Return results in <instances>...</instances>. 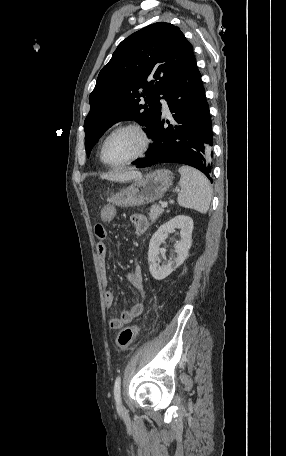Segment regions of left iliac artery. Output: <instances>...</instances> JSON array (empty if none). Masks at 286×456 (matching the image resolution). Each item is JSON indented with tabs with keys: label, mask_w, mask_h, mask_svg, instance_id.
Masks as SVG:
<instances>
[{
	"label": "left iliac artery",
	"mask_w": 286,
	"mask_h": 456,
	"mask_svg": "<svg viewBox=\"0 0 286 456\" xmlns=\"http://www.w3.org/2000/svg\"><path fill=\"white\" fill-rule=\"evenodd\" d=\"M114 398L117 404L121 403V377L118 376L114 384Z\"/></svg>",
	"instance_id": "1"
}]
</instances>
